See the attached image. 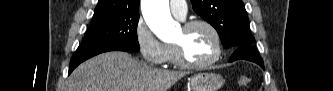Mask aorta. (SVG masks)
Instances as JSON below:
<instances>
[{"label":"aorta","mask_w":333,"mask_h":91,"mask_svg":"<svg viewBox=\"0 0 333 91\" xmlns=\"http://www.w3.org/2000/svg\"><path fill=\"white\" fill-rule=\"evenodd\" d=\"M143 17L153 33L163 41H168L178 34L177 23L169 10V0H142Z\"/></svg>","instance_id":"aorta-1"}]
</instances>
